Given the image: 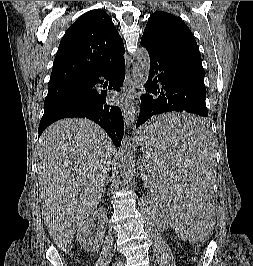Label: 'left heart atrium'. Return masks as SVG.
Masks as SVG:
<instances>
[{
  "mask_svg": "<svg viewBox=\"0 0 253 266\" xmlns=\"http://www.w3.org/2000/svg\"><path fill=\"white\" fill-rule=\"evenodd\" d=\"M113 100L125 105H129L132 100V95L129 93H118L113 96Z\"/></svg>",
  "mask_w": 253,
  "mask_h": 266,
  "instance_id": "obj_1",
  "label": "left heart atrium"
}]
</instances>
